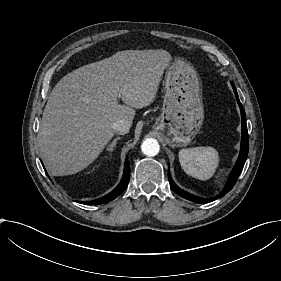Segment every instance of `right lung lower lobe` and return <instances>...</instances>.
I'll return each mask as SVG.
<instances>
[{
	"instance_id": "right-lung-lower-lobe-1",
	"label": "right lung lower lobe",
	"mask_w": 281,
	"mask_h": 281,
	"mask_svg": "<svg viewBox=\"0 0 281 281\" xmlns=\"http://www.w3.org/2000/svg\"><path fill=\"white\" fill-rule=\"evenodd\" d=\"M129 178H130V165H129V161L126 160L122 180L119 183V185L111 193L107 194L106 196H104L102 198L96 199V200L77 201V202H79L81 204H87V205H99V204L108 203V202L114 200L117 196H119L126 189L128 182H129Z\"/></svg>"
}]
</instances>
